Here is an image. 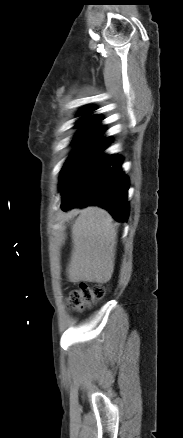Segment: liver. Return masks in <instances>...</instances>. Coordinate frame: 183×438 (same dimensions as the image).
<instances>
[{"instance_id":"obj_1","label":"liver","mask_w":183,"mask_h":438,"mask_svg":"<svg viewBox=\"0 0 183 438\" xmlns=\"http://www.w3.org/2000/svg\"><path fill=\"white\" fill-rule=\"evenodd\" d=\"M79 213L72 225L73 249L67 269L70 282L107 283L114 271L117 231L111 215L90 206Z\"/></svg>"}]
</instances>
